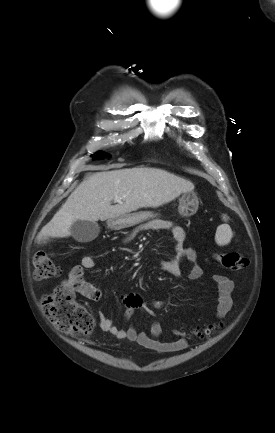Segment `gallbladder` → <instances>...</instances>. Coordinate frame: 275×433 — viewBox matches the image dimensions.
Instances as JSON below:
<instances>
[{
    "instance_id": "gallbladder-1",
    "label": "gallbladder",
    "mask_w": 275,
    "mask_h": 433,
    "mask_svg": "<svg viewBox=\"0 0 275 433\" xmlns=\"http://www.w3.org/2000/svg\"><path fill=\"white\" fill-rule=\"evenodd\" d=\"M100 227L96 222L77 220L70 228L71 236L78 242L88 243L99 234Z\"/></svg>"
}]
</instances>
